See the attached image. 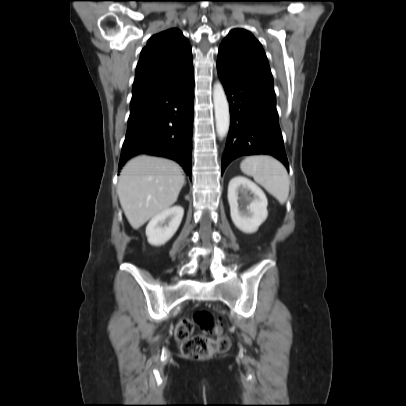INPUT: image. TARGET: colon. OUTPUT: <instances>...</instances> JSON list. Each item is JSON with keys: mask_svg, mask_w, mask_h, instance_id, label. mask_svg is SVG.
I'll list each match as a JSON object with an SVG mask.
<instances>
[{"mask_svg": "<svg viewBox=\"0 0 406 406\" xmlns=\"http://www.w3.org/2000/svg\"><path fill=\"white\" fill-rule=\"evenodd\" d=\"M204 333H214L217 324L207 311H199L192 317L182 319L175 327V337L181 342L182 354L187 359H207L217 353L226 352L230 347V339L220 335L216 339L206 334H193L195 327Z\"/></svg>", "mask_w": 406, "mask_h": 406, "instance_id": "1", "label": "colon"}]
</instances>
